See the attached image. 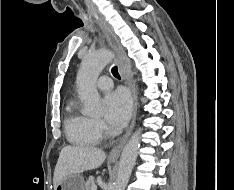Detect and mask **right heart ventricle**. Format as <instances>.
<instances>
[{"label":"right heart ventricle","mask_w":234,"mask_h":190,"mask_svg":"<svg viewBox=\"0 0 234 190\" xmlns=\"http://www.w3.org/2000/svg\"><path fill=\"white\" fill-rule=\"evenodd\" d=\"M64 127L68 140L74 145L93 146L100 140L94 120L82 113L73 100L66 105Z\"/></svg>","instance_id":"e07e8e85"}]
</instances>
